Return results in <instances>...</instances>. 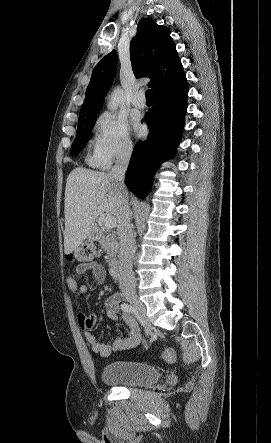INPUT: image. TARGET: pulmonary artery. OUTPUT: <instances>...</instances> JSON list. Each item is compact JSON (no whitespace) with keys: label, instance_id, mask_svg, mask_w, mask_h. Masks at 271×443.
Here are the masks:
<instances>
[{"label":"pulmonary artery","instance_id":"1","mask_svg":"<svg viewBox=\"0 0 271 443\" xmlns=\"http://www.w3.org/2000/svg\"><path fill=\"white\" fill-rule=\"evenodd\" d=\"M133 105L138 109H144L147 105L146 96L143 90H140L134 97Z\"/></svg>","mask_w":271,"mask_h":443}]
</instances>
